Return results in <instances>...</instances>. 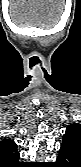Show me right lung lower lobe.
I'll return each instance as SVG.
<instances>
[{
	"mask_svg": "<svg viewBox=\"0 0 81 167\" xmlns=\"http://www.w3.org/2000/svg\"><path fill=\"white\" fill-rule=\"evenodd\" d=\"M23 164L15 165L14 167H23Z\"/></svg>",
	"mask_w": 81,
	"mask_h": 167,
	"instance_id": "obj_1",
	"label": "right lung lower lobe"
}]
</instances>
